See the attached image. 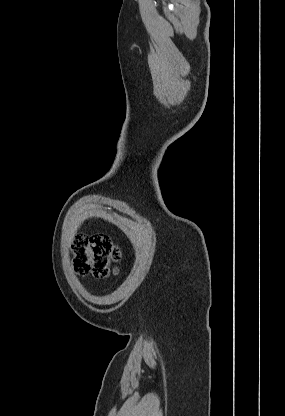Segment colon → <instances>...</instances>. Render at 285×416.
Segmentation results:
<instances>
[{"label": "colon", "instance_id": "colon-1", "mask_svg": "<svg viewBox=\"0 0 285 416\" xmlns=\"http://www.w3.org/2000/svg\"><path fill=\"white\" fill-rule=\"evenodd\" d=\"M74 269L79 275L97 278L115 273L114 264L120 259V249L104 234L78 235L73 242Z\"/></svg>", "mask_w": 285, "mask_h": 416}]
</instances>
